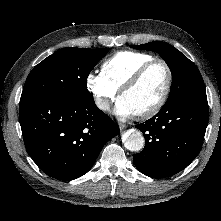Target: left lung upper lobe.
Returning a JSON list of instances; mask_svg holds the SVG:
<instances>
[{"mask_svg":"<svg viewBox=\"0 0 221 221\" xmlns=\"http://www.w3.org/2000/svg\"><path fill=\"white\" fill-rule=\"evenodd\" d=\"M131 47L139 50H151L164 57L172 72V87L167 101L206 97L204 81L198 68L175 47L162 41L132 45Z\"/></svg>","mask_w":221,"mask_h":221,"instance_id":"5c2ea615","label":"left lung upper lobe"}]
</instances>
